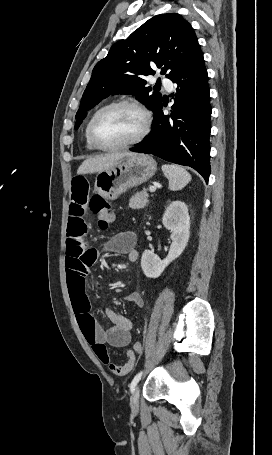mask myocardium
<instances>
[{
    "label": "myocardium",
    "mask_w": 272,
    "mask_h": 455,
    "mask_svg": "<svg viewBox=\"0 0 272 455\" xmlns=\"http://www.w3.org/2000/svg\"><path fill=\"white\" fill-rule=\"evenodd\" d=\"M117 106H130V107L134 108L135 110H137L140 113L141 118H142V128L136 137H134L133 139H131L127 142L117 144V145L101 144L95 136V132H94L95 123H96L98 117L104 111H106L110 108H113V107H117ZM150 127H151V117H150L149 111L142 104H140L138 101H136L134 99L122 98V99H117V100H114V101H111V102L105 104L104 106L99 108L93 114L92 118L90 119V121L88 123V137H89L91 144L97 150L118 151V150H123V149L133 147V146L141 143L148 135V133L150 131Z\"/></svg>",
    "instance_id": "1"
}]
</instances>
